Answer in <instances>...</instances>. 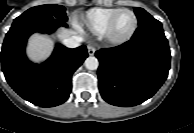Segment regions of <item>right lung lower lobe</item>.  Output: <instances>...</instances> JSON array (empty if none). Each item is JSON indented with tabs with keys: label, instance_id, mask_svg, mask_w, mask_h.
Segmentation results:
<instances>
[{
	"label": "right lung lower lobe",
	"instance_id": "98d812e1",
	"mask_svg": "<svg viewBox=\"0 0 194 133\" xmlns=\"http://www.w3.org/2000/svg\"><path fill=\"white\" fill-rule=\"evenodd\" d=\"M59 26H67L66 21L39 19L13 23L2 46V71L7 82L23 99L40 107H54L68 99L72 74L88 56L84 45L75 49L57 45L41 65L27 59L28 37L34 32L52 33Z\"/></svg>",
	"mask_w": 194,
	"mask_h": 133
}]
</instances>
